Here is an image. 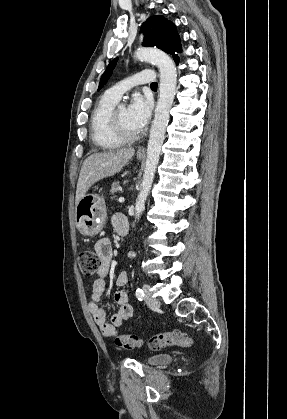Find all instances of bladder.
I'll use <instances>...</instances> for the list:
<instances>
[{
  "label": "bladder",
  "instance_id": "obj_1",
  "mask_svg": "<svg viewBox=\"0 0 287 419\" xmlns=\"http://www.w3.org/2000/svg\"><path fill=\"white\" fill-rule=\"evenodd\" d=\"M148 363L154 365L168 364L172 361V356L169 354L151 355L147 359Z\"/></svg>",
  "mask_w": 287,
  "mask_h": 419
}]
</instances>
